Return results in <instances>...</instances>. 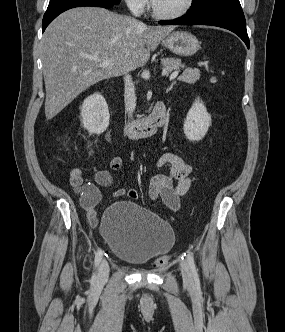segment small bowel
<instances>
[{
    "label": "small bowel",
    "mask_w": 285,
    "mask_h": 332,
    "mask_svg": "<svg viewBox=\"0 0 285 332\" xmlns=\"http://www.w3.org/2000/svg\"><path fill=\"white\" fill-rule=\"evenodd\" d=\"M158 168L168 166L170 175L176 179V183L170 177L165 175H156L152 178L149 186V195L152 199H160L172 211H177L180 207V197L184 195L191 185V166L179 155L166 152L162 154L157 162ZM110 167L113 171H118L122 167V158L114 156L110 161ZM95 183L102 187L112 186V177L109 171L99 170L94 174ZM70 185L80 196L82 207L87 212V218L91 225L97 224L95 207L99 203L101 195L96 185L84 181L82 170L74 167L70 171ZM113 196L116 198L127 196L136 200L139 196L137 190L115 189Z\"/></svg>",
    "instance_id": "obj_1"
}]
</instances>
